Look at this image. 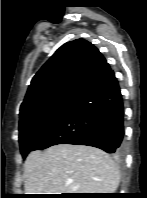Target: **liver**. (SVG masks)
I'll return each instance as SVG.
<instances>
[{"label":"liver","instance_id":"6515ba94","mask_svg":"<svg viewBox=\"0 0 147 198\" xmlns=\"http://www.w3.org/2000/svg\"><path fill=\"white\" fill-rule=\"evenodd\" d=\"M24 179L25 194L114 193L120 174L101 149L58 144L29 153Z\"/></svg>","mask_w":147,"mask_h":198}]
</instances>
